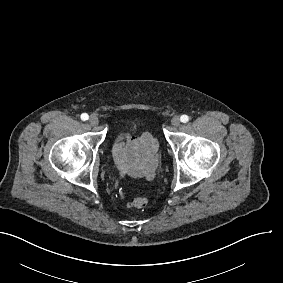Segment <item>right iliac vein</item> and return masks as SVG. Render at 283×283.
Here are the masks:
<instances>
[{"instance_id":"obj_1","label":"right iliac vein","mask_w":283,"mask_h":283,"mask_svg":"<svg viewBox=\"0 0 283 283\" xmlns=\"http://www.w3.org/2000/svg\"><path fill=\"white\" fill-rule=\"evenodd\" d=\"M89 123L92 125V126H96L99 124V119L98 117L92 115L90 118H89Z\"/></svg>"}]
</instances>
